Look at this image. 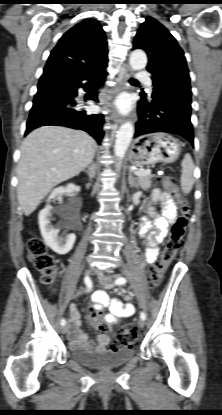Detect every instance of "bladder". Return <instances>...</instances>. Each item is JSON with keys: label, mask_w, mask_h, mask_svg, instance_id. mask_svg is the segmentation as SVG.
Segmentation results:
<instances>
[{"label": "bladder", "mask_w": 222, "mask_h": 415, "mask_svg": "<svg viewBox=\"0 0 222 415\" xmlns=\"http://www.w3.org/2000/svg\"><path fill=\"white\" fill-rule=\"evenodd\" d=\"M135 356L131 347H122L104 351H89L80 348H71L70 357L77 363L91 368L119 367Z\"/></svg>", "instance_id": "obj_1"}]
</instances>
